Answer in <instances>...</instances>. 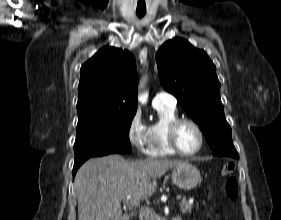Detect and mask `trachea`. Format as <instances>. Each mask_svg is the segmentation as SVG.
<instances>
[{
	"instance_id": "trachea-1",
	"label": "trachea",
	"mask_w": 281,
	"mask_h": 220,
	"mask_svg": "<svg viewBox=\"0 0 281 220\" xmlns=\"http://www.w3.org/2000/svg\"><path fill=\"white\" fill-rule=\"evenodd\" d=\"M136 13L139 17H143L146 13V10H137Z\"/></svg>"
}]
</instances>
